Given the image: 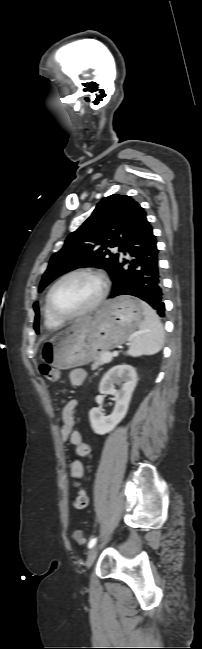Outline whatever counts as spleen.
Here are the masks:
<instances>
[{
    "mask_svg": "<svg viewBox=\"0 0 202 649\" xmlns=\"http://www.w3.org/2000/svg\"><path fill=\"white\" fill-rule=\"evenodd\" d=\"M144 320L139 326V332L131 341L127 355L138 357L159 352L163 346L164 332L160 319L154 309L142 302Z\"/></svg>",
    "mask_w": 202,
    "mask_h": 649,
    "instance_id": "spleen-1",
    "label": "spleen"
}]
</instances>
